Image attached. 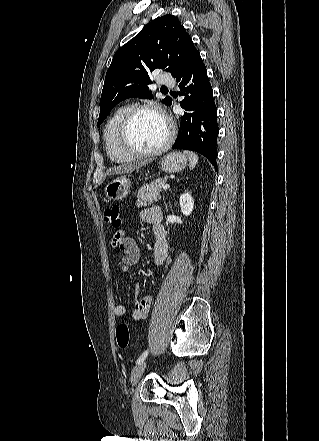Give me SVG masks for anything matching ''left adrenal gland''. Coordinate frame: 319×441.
Returning a JSON list of instances; mask_svg holds the SVG:
<instances>
[{"mask_svg": "<svg viewBox=\"0 0 319 441\" xmlns=\"http://www.w3.org/2000/svg\"><path fill=\"white\" fill-rule=\"evenodd\" d=\"M163 200H164L165 209L168 210V206L166 204L165 198H163Z\"/></svg>", "mask_w": 319, "mask_h": 441, "instance_id": "left-adrenal-gland-1", "label": "left adrenal gland"}]
</instances>
